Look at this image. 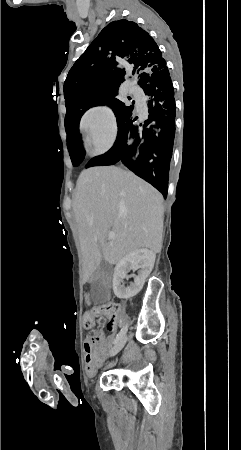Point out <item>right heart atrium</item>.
Wrapping results in <instances>:
<instances>
[{
  "instance_id": "obj_1",
  "label": "right heart atrium",
  "mask_w": 241,
  "mask_h": 450,
  "mask_svg": "<svg viewBox=\"0 0 241 450\" xmlns=\"http://www.w3.org/2000/svg\"><path fill=\"white\" fill-rule=\"evenodd\" d=\"M84 138L88 152L93 156L105 154L112 147L117 133V122L113 111L106 106L91 109L83 118Z\"/></svg>"
}]
</instances>
